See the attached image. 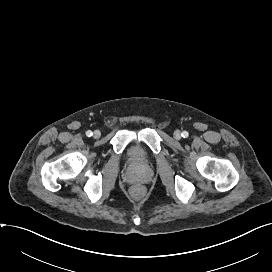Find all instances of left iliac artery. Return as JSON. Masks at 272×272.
I'll return each mask as SVG.
<instances>
[{"label":"left iliac artery","mask_w":272,"mask_h":272,"mask_svg":"<svg viewBox=\"0 0 272 272\" xmlns=\"http://www.w3.org/2000/svg\"><path fill=\"white\" fill-rule=\"evenodd\" d=\"M182 137L187 138L189 136V133L187 131L182 132Z\"/></svg>","instance_id":"obj_1"}]
</instances>
